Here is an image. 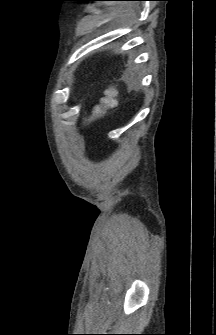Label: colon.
Wrapping results in <instances>:
<instances>
[{
	"mask_svg": "<svg viewBox=\"0 0 216 335\" xmlns=\"http://www.w3.org/2000/svg\"><path fill=\"white\" fill-rule=\"evenodd\" d=\"M116 95V88L114 86L109 87L104 92L99 103L94 107L93 116L97 118L103 117L107 112L113 110L117 106Z\"/></svg>",
	"mask_w": 216,
	"mask_h": 335,
	"instance_id": "1",
	"label": "colon"
}]
</instances>
